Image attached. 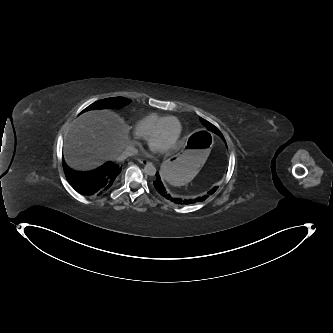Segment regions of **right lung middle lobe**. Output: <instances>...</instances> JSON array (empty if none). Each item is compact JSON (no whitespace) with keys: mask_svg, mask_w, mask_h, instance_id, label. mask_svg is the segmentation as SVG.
Segmentation results:
<instances>
[{"mask_svg":"<svg viewBox=\"0 0 333 333\" xmlns=\"http://www.w3.org/2000/svg\"><path fill=\"white\" fill-rule=\"evenodd\" d=\"M131 100L123 98V97H114V98H107L100 101H97L90 106H88L83 112L91 109H102V108H121L124 105L130 103Z\"/></svg>","mask_w":333,"mask_h":333,"instance_id":"1","label":"right lung middle lobe"}]
</instances>
